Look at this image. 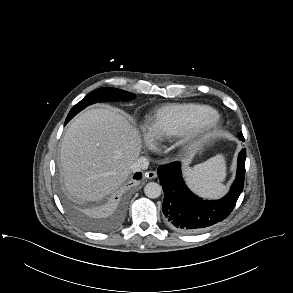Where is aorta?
I'll return each mask as SVG.
<instances>
[{
  "instance_id": "1",
  "label": "aorta",
  "mask_w": 293,
  "mask_h": 293,
  "mask_svg": "<svg viewBox=\"0 0 293 293\" xmlns=\"http://www.w3.org/2000/svg\"><path fill=\"white\" fill-rule=\"evenodd\" d=\"M144 193L148 198H158L162 193V187L156 182H149L144 187Z\"/></svg>"
}]
</instances>
